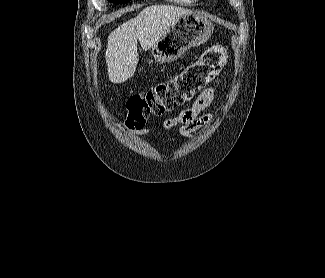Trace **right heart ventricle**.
Returning a JSON list of instances; mask_svg holds the SVG:
<instances>
[{
  "mask_svg": "<svg viewBox=\"0 0 325 278\" xmlns=\"http://www.w3.org/2000/svg\"><path fill=\"white\" fill-rule=\"evenodd\" d=\"M170 1L181 4V5H185V6H192V5L198 4L200 0H170Z\"/></svg>",
  "mask_w": 325,
  "mask_h": 278,
  "instance_id": "obj_1",
  "label": "right heart ventricle"
}]
</instances>
